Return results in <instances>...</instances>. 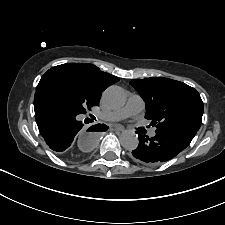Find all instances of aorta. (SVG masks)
I'll return each mask as SVG.
<instances>
[{
	"label": "aorta",
	"mask_w": 225,
	"mask_h": 225,
	"mask_svg": "<svg viewBox=\"0 0 225 225\" xmlns=\"http://www.w3.org/2000/svg\"><path fill=\"white\" fill-rule=\"evenodd\" d=\"M103 98L110 108H120L126 103L125 91L119 86H110L107 88ZM120 142L126 150H134L139 144L138 136L131 130H125L121 133Z\"/></svg>",
	"instance_id": "aorta-1"
}]
</instances>
